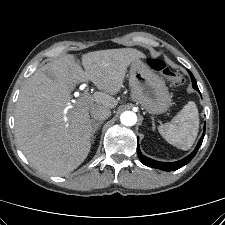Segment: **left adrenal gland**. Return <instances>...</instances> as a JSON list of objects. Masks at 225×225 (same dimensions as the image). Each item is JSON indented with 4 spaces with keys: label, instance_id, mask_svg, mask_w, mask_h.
<instances>
[{
    "label": "left adrenal gland",
    "instance_id": "1",
    "mask_svg": "<svg viewBox=\"0 0 225 225\" xmlns=\"http://www.w3.org/2000/svg\"><path fill=\"white\" fill-rule=\"evenodd\" d=\"M152 129L155 130V122H154V118L152 117Z\"/></svg>",
    "mask_w": 225,
    "mask_h": 225
}]
</instances>
